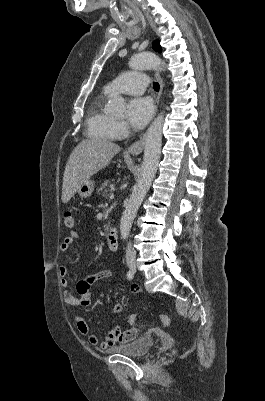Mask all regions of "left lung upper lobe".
<instances>
[{
	"instance_id": "5c2ea615",
	"label": "left lung upper lobe",
	"mask_w": 265,
	"mask_h": 401,
	"mask_svg": "<svg viewBox=\"0 0 265 401\" xmlns=\"http://www.w3.org/2000/svg\"><path fill=\"white\" fill-rule=\"evenodd\" d=\"M153 48H154V50H156V51H158V52H161V46H160L158 40L154 41V43H153Z\"/></svg>"
}]
</instances>
